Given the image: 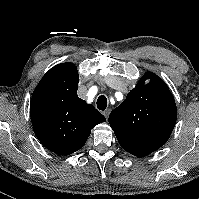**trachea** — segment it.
Returning a JSON list of instances; mask_svg holds the SVG:
<instances>
[{"mask_svg": "<svg viewBox=\"0 0 199 199\" xmlns=\"http://www.w3.org/2000/svg\"><path fill=\"white\" fill-rule=\"evenodd\" d=\"M107 107V98L104 95H101L97 99V108L101 111H104Z\"/></svg>", "mask_w": 199, "mask_h": 199, "instance_id": "obj_1", "label": "trachea"}]
</instances>
